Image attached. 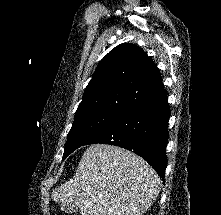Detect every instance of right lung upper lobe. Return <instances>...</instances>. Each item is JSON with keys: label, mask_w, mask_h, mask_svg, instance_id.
Returning a JSON list of instances; mask_svg holds the SVG:
<instances>
[{"label": "right lung upper lobe", "mask_w": 221, "mask_h": 215, "mask_svg": "<svg viewBox=\"0 0 221 215\" xmlns=\"http://www.w3.org/2000/svg\"><path fill=\"white\" fill-rule=\"evenodd\" d=\"M162 90L154 62L140 47L124 43L98 64L76 113L100 111L123 116Z\"/></svg>", "instance_id": "cb5924a9"}]
</instances>
